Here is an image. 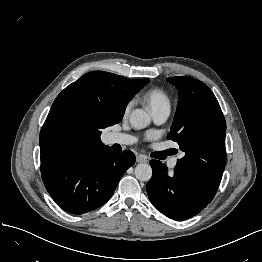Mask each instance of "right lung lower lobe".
<instances>
[{"label":"right lung lower lobe","mask_w":262,"mask_h":262,"mask_svg":"<svg viewBox=\"0 0 262 262\" xmlns=\"http://www.w3.org/2000/svg\"><path fill=\"white\" fill-rule=\"evenodd\" d=\"M135 155L105 148L96 152L79 151L41 156V174L52 199L65 211L83 214L112 196Z\"/></svg>","instance_id":"98d812e1"}]
</instances>
